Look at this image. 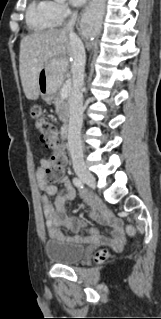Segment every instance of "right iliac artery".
<instances>
[{"label":"right iliac artery","instance_id":"82829eb1","mask_svg":"<svg viewBox=\"0 0 161 319\" xmlns=\"http://www.w3.org/2000/svg\"><path fill=\"white\" fill-rule=\"evenodd\" d=\"M73 184L80 190L84 187L83 182L77 177L73 178Z\"/></svg>","mask_w":161,"mask_h":319}]
</instances>
